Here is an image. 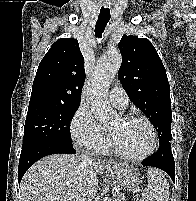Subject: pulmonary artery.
Instances as JSON below:
<instances>
[{
	"label": "pulmonary artery",
	"instance_id": "obj_1",
	"mask_svg": "<svg viewBox=\"0 0 196 201\" xmlns=\"http://www.w3.org/2000/svg\"><path fill=\"white\" fill-rule=\"evenodd\" d=\"M109 100L118 109H124L128 104V96L122 87L112 88L109 92Z\"/></svg>",
	"mask_w": 196,
	"mask_h": 201
}]
</instances>
